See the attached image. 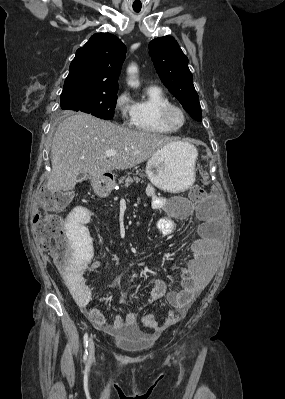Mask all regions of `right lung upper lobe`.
Instances as JSON below:
<instances>
[{
    "label": "right lung upper lobe",
    "instance_id": "right-lung-upper-lobe-1",
    "mask_svg": "<svg viewBox=\"0 0 285 399\" xmlns=\"http://www.w3.org/2000/svg\"><path fill=\"white\" fill-rule=\"evenodd\" d=\"M126 46L110 33H97L76 51L63 93L118 91V77Z\"/></svg>",
    "mask_w": 285,
    "mask_h": 399
}]
</instances>
